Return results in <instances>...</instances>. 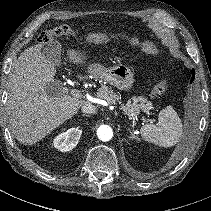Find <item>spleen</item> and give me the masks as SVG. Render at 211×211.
<instances>
[{
  "label": "spleen",
  "mask_w": 211,
  "mask_h": 211,
  "mask_svg": "<svg viewBox=\"0 0 211 211\" xmlns=\"http://www.w3.org/2000/svg\"><path fill=\"white\" fill-rule=\"evenodd\" d=\"M140 133L145 141L161 147H171L182 135V123L177 112L169 105L160 111L157 124L142 126Z\"/></svg>",
  "instance_id": "1"
}]
</instances>
